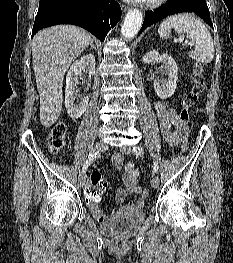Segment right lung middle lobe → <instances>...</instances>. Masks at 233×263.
Here are the masks:
<instances>
[{"instance_id":"1","label":"right lung middle lobe","mask_w":233,"mask_h":263,"mask_svg":"<svg viewBox=\"0 0 233 263\" xmlns=\"http://www.w3.org/2000/svg\"><path fill=\"white\" fill-rule=\"evenodd\" d=\"M60 1V0H40L39 2V9H42L48 5H50L53 2Z\"/></svg>"}]
</instances>
